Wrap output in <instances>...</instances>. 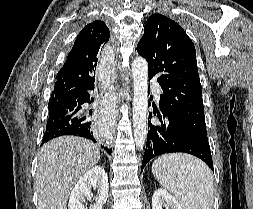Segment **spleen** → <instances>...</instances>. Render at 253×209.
Instances as JSON below:
<instances>
[{
  "instance_id": "spleen-1",
  "label": "spleen",
  "mask_w": 253,
  "mask_h": 209,
  "mask_svg": "<svg viewBox=\"0 0 253 209\" xmlns=\"http://www.w3.org/2000/svg\"><path fill=\"white\" fill-rule=\"evenodd\" d=\"M152 173L183 209H212L213 175L198 158L181 153L163 155L153 162Z\"/></svg>"
}]
</instances>
